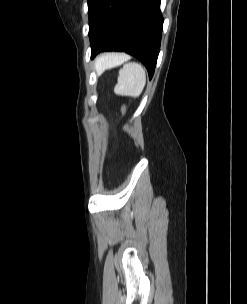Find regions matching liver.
Segmentation results:
<instances>
[{
  "label": "liver",
  "instance_id": "1",
  "mask_svg": "<svg viewBox=\"0 0 247 304\" xmlns=\"http://www.w3.org/2000/svg\"><path fill=\"white\" fill-rule=\"evenodd\" d=\"M101 66V63L96 64V67L99 68Z\"/></svg>",
  "mask_w": 247,
  "mask_h": 304
}]
</instances>
